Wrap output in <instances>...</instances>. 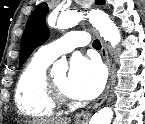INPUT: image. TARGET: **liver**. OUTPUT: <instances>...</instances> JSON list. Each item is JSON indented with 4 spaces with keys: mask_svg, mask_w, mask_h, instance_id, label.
Instances as JSON below:
<instances>
[{
    "mask_svg": "<svg viewBox=\"0 0 145 124\" xmlns=\"http://www.w3.org/2000/svg\"><path fill=\"white\" fill-rule=\"evenodd\" d=\"M26 124H69L67 118L34 119L26 121Z\"/></svg>",
    "mask_w": 145,
    "mask_h": 124,
    "instance_id": "liver-1",
    "label": "liver"
}]
</instances>
